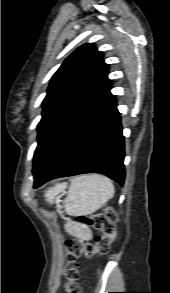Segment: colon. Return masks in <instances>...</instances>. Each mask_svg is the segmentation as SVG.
Returning a JSON list of instances; mask_svg holds the SVG:
<instances>
[{"mask_svg":"<svg viewBox=\"0 0 170 293\" xmlns=\"http://www.w3.org/2000/svg\"><path fill=\"white\" fill-rule=\"evenodd\" d=\"M80 221L99 228L102 234L96 237L92 243H84L79 240L65 242L66 266L64 275L68 293H79L77 286L79 272L76 261L80 258L90 259L97 254H106L117 235V214L111 207H106L101 213L83 216Z\"/></svg>","mask_w":170,"mask_h":293,"instance_id":"5ec220e1","label":"colon"}]
</instances>
